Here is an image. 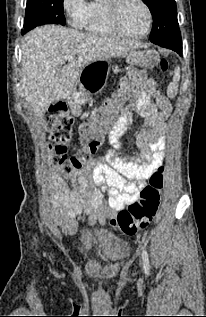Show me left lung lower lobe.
Listing matches in <instances>:
<instances>
[{
  "label": "left lung lower lobe",
  "instance_id": "0a47b994",
  "mask_svg": "<svg viewBox=\"0 0 206 317\" xmlns=\"http://www.w3.org/2000/svg\"><path fill=\"white\" fill-rule=\"evenodd\" d=\"M157 45L172 49V50L176 51L179 55H182V43H179V44L178 43H162V44H157Z\"/></svg>",
  "mask_w": 206,
  "mask_h": 317
}]
</instances>
